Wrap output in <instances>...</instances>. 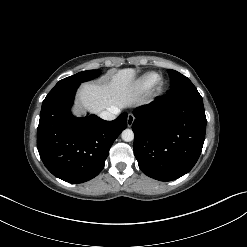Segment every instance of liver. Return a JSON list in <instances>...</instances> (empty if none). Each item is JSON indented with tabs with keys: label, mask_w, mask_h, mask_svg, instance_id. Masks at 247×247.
Returning <instances> with one entry per match:
<instances>
[{
	"label": "liver",
	"mask_w": 247,
	"mask_h": 247,
	"mask_svg": "<svg viewBox=\"0 0 247 247\" xmlns=\"http://www.w3.org/2000/svg\"><path fill=\"white\" fill-rule=\"evenodd\" d=\"M135 70L121 69L111 77L108 83H84L77 97L82 109L98 114L110 108H125L145 103L140 97L135 82ZM77 114L78 110H74Z\"/></svg>",
	"instance_id": "6515ba94"
}]
</instances>
